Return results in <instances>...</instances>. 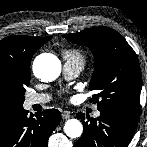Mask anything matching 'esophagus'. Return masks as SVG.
I'll return each mask as SVG.
<instances>
[{
  "instance_id": "1",
  "label": "esophagus",
  "mask_w": 147,
  "mask_h": 147,
  "mask_svg": "<svg viewBox=\"0 0 147 147\" xmlns=\"http://www.w3.org/2000/svg\"><path fill=\"white\" fill-rule=\"evenodd\" d=\"M71 117H72V115L68 111H65V112L62 113V118L63 119H69Z\"/></svg>"
}]
</instances>
